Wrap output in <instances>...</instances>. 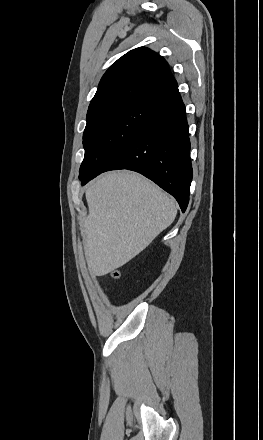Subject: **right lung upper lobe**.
I'll return each mask as SVG.
<instances>
[{"instance_id": "right-lung-upper-lobe-1", "label": "right lung upper lobe", "mask_w": 263, "mask_h": 440, "mask_svg": "<svg viewBox=\"0 0 263 440\" xmlns=\"http://www.w3.org/2000/svg\"><path fill=\"white\" fill-rule=\"evenodd\" d=\"M177 91L168 63L154 51L139 47L119 58L103 75L89 105L87 119L115 107L156 106Z\"/></svg>"}]
</instances>
